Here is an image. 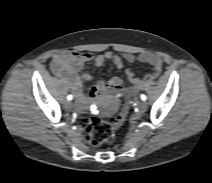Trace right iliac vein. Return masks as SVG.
Listing matches in <instances>:
<instances>
[{
	"mask_svg": "<svg viewBox=\"0 0 212 183\" xmlns=\"http://www.w3.org/2000/svg\"><path fill=\"white\" fill-rule=\"evenodd\" d=\"M65 108L71 110L73 108V104L71 101H66Z\"/></svg>",
	"mask_w": 212,
	"mask_h": 183,
	"instance_id": "1",
	"label": "right iliac vein"
}]
</instances>
